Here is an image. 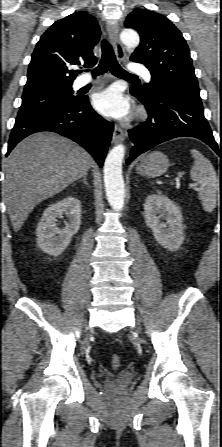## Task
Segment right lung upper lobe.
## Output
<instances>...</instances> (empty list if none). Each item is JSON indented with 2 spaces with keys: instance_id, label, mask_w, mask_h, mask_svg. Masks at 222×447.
Instances as JSON below:
<instances>
[{
  "instance_id": "right-lung-upper-lobe-1",
  "label": "right lung upper lobe",
  "mask_w": 222,
  "mask_h": 447,
  "mask_svg": "<svg viewBox=\"0 0 222 447\" xmlns=\"http://www.w3.org/2000/svg\"><path fill=\"white\" fill-rule=\"evenodd\" d=\"M100 35L96 19L83 11L56 21L35 47L24 93L71 87L76 74L69 66L80 62L95 65L92 49Z\"/></svg>"
}]
</instances>
